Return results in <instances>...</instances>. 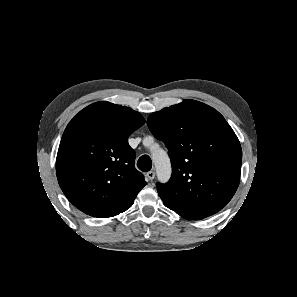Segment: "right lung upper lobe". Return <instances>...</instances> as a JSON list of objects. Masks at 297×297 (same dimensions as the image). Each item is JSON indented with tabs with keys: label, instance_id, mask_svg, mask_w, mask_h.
<instances>
[{
	"label": "right lung upper lobe",
	"instance_id": "right-lung-upper-lobe-1",
	"mask_svg": "<svg viewBox=\"0 0 297 297\" xmlns=\"http://www.w3.org/2000/svg\"><path fill=\"white\" fill-rule=\"evenodd\" d=\"M145 123L142 115L107 101L81 110L67 125L58 149L56 172L68 200L100 218L116 216L146 185L135 169L128 137Z\"/></svg>",
	"mask_w": 297,
	"mask_h": 297
}]
</instances>
